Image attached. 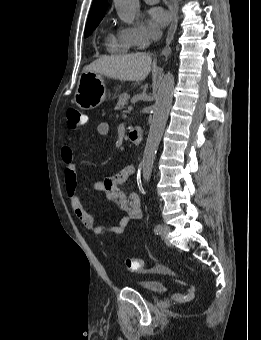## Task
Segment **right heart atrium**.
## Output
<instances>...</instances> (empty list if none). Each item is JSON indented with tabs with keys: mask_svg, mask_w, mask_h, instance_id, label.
Masks as SVG:
<instances>
[{
	"mask_svg": "<svg viewBox=\"0 0 261 340\" xmlns=\"http://www.w3.org/2000/svg\"><path fill=\"white\" fill-rule=\"evenodd\" d=\"M121 31L132 41L135 47H146L153 37L152 31L141 21H136L133 25L125 26Z\"/></svg>",
	"mask_w": 261,
	"mask_h": 340,
	"instance_id": "d8ad5b80",
	"label": "right heart atrium"
}]
</instances>
